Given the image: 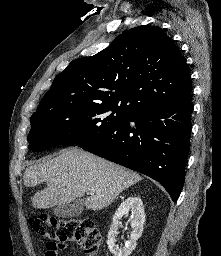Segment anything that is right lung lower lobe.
Here are the masks:
<instances>
[{"label":"right lung lower lobe","mask_w":221,"mask_h":256,"mask_svg":"<svg viewBox=\"0 0 221 256\" xmlns=\"http://www.w3.org/2000/svg\"><path fill=\"white\" fill-rule=\"evenodd\" d=\"M192 111V95L154 104L79 146L155 179L176 202L184 184Z\"/></svg>","instance_id":"98d812e1"}]
</instances>
